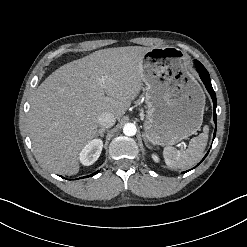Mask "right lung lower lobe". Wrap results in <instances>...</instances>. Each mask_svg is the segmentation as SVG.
<instances>
[{"label": "right lung lower lobe", "instance_id": "1", "mask_svg": "<svg viewBox=\"0 0 247 247\" xmlns=\"http://www.w3.org/2000/svg\"><path fill=\"white\" fill-rule=\"evenodd\" d=\"M99 171H97V172H95L94 174H91L90 176H93V175H95V174H97ZM89 177V176H88Z\"/></svg>", "mask_w": 247, "mask_h": 247}]
</instances>
